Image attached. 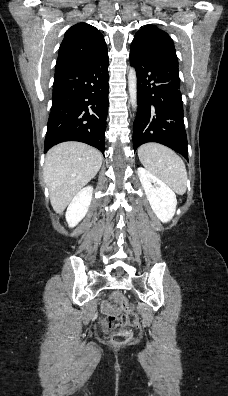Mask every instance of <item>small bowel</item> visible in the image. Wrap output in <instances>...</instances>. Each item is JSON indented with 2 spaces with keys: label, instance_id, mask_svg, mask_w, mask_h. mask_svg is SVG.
Masks as SVG:
<instances>
[{
  "label": "small bowel",
  "instance_id": "small-bowel-1",
  "mask_svg": "<svg viewBox=\"0 0 228 396\" xmlns=\"http://www.w3.org/2000/svg\"><path fill=\"white\" fill-rule=\"evenodd\" d=\"M103 309H104V311H106V312L110 311V307H109V305L106 304V303L104 304Z\"/></svg>",
  "mask_w": 228,
  "mask_h": 396
}]
</instances>
